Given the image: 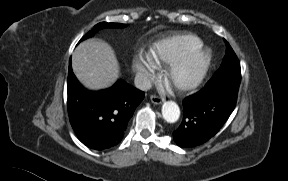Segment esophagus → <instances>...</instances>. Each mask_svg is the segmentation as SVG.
Listing matches in <instances>:
<instances>
[{
  "label": "esophagus",
  "instance_id": "34e87169",
  "mask_svg": "<svg viewBox=\"0 0 288 181\" xmlns=\"http://www.w3.org/2000/svg\"><path fill=\"white\" fill-rule=\"evenodd\" d=\"M150 99L154 104H161L164 101V98L158 95H152Z\"/></svg>",
  "mask_w": 288,
  "mask_h": 181
}]
</instances>
